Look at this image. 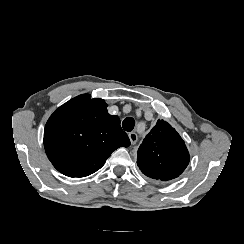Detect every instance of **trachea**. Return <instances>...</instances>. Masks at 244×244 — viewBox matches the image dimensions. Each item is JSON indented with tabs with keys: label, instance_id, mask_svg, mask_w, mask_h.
<instances>
[{
	"label": "trachea",
	"instance_id": "1",
	"mask_svg": "<svg viewBox=\"0 0 244 244\" xmlns=\"http://www.w3.org/2000/svg\"><path fill=\"white\" fill-rule=\"evenodd\" d=\"M135 126V121L131 117H127L122 122V127L125 131H132Z\"/></svg>",
	"mask_w": 244,
	"mask_h": 244
}]
</instances>
